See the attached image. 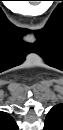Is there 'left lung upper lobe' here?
I'll use <instances>...</instances> for the list:
<instances>
[{
	"mask_svg": "<svg viewBox=\"0 0 63 130\" xmlns=\"http://www.w3.org/2000/svg\"><path fill=\"white\" fill-rule=\"evenodd\" d=\"M44 130H63V104L55 105L49 111Z\"/></svg>",
	"mask_w": 63,
	"mask_h": 130,
	"instance_id": "5c2ea615",
	"label": "left lung upper lobe"
}]
</instances>
